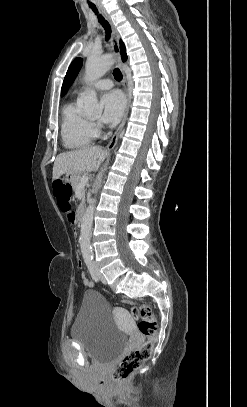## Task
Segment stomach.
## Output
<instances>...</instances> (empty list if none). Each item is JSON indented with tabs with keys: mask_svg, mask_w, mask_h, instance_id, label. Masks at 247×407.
<instances>
[{
	"mask_svg": "<svg viewBox=\"0 0 247 407\" xmlns=\"http://www.w3.org/2000/svg\"><path fill=\"white\" fill-rule=\"evenodd\" d=\"M76 176H77V174H70V173H67V174H66V177H65V181L72 183L73 179H74Z\"/></svg>",
	"mask_w": 247,
	"mask_h": 407,
	"instance_id": "0dacf381",
	"label": "stomach"
}]
</instances>
